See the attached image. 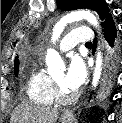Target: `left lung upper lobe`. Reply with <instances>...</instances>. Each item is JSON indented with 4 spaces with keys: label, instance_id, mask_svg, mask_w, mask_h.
Masks as SVG:
<instances>
[{
    "label": "left lung upper lobe",
    "instance_id": "left-lung-upper-lobe-1",
    "mask_svg": "<svg viewBox=\"0 0 122 123\" xmlns=\"http://www.w3.org/2000/svg\"><path fill=\"white\" fill-rule=\"evenodd\" d=\"M57 5L62 10H75L88 8L96 11L104 22L110 14L105 0H57ZM103 22L101 24H103Z\"/></svg>",
    "mask_w": 122,
    "mask_h": 123
}]
</instances>
